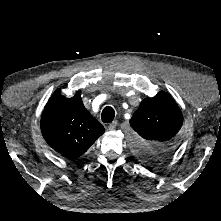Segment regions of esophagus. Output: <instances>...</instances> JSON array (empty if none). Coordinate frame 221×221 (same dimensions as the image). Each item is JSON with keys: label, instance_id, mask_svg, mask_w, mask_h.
<instances>
[{"label": "esophagus", "instance_id": "34e87169", "mask_svg": "<svg viewBox=\"0 0 221 221\" xmlns=\"http://www.w3.org/2000/svg\"><path fill=\"white\" fill-rule=\"evenodd\" d=\"M117 124H118L117 121L111 122V123L108 125V129H109L110 131L115 130L116 127H117Z\"/></svg>", "mask_w": 221, "mask_h": 221}]
</instances>
